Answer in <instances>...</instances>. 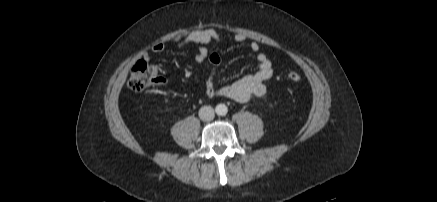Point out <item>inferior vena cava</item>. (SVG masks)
<instances>
[{
	"mask_svg": "<svg viewBox=\"0 0 437 202\" xmlns=\"http://www.w3.org/2000/svg\"><path fill=\"white\" fill-rule=\"evenodd\" d=\"M215 113L211 106H203L199 110V118L202 121H211L214 119Z\"/></svg>",
	"mask_w": 437,
	"mask_h": 202,
	"instance_id": "1",
	"label": "inferior vena cava"
}]
</instances>
